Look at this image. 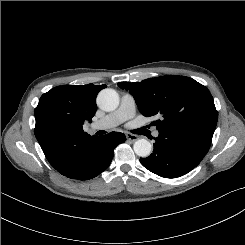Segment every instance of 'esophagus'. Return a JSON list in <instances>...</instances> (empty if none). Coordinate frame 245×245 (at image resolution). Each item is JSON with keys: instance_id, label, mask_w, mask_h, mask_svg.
Instances as JSON below:
<instances>
[{"instance_id": "1", "label": "esophagus", "mask_w": 245, "mask_h": 245, "mask_svg": "<svg viewBox=\"0 0 245 245\" xmlns=\"http://www.w3.org/2000/svg\"><path fill=\"white\" fill-rule=\"evenodd\" d=\"M126 138L130 142H135L138 139V136L137 135L130 134V133H127L126 134Z\"/></svg>"}]
</instances>
